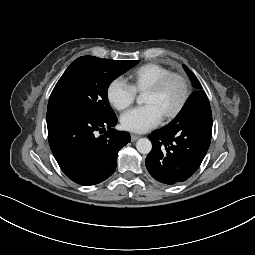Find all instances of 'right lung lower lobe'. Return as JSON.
I'll list each match as a JSON object with an SVG mask.
<instances>
[{
  "instance_id": "obj_1",
  "label": "right lung lower lobe",
  "mask_w": 255,
  "mask_h": 255,
  "mask_svg": "<svg viewBox=\"0 0 255 255\" xmlns=\"http://www.w3.org/2000/svg\"><path fill=\"white\" fill-rule=\"evenodd\" d=\"M116 123V115L102 118L73 108L47 110L50 148L67 177L89 186L113 174L118 151L130 142L129 133L112 128ZM97 131L106 133L98 137Z\"/></svg>"
}]
</instances>
